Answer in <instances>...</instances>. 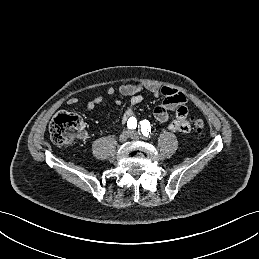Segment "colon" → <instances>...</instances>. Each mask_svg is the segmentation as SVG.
I'll return each mask as SVG.
<instances>
[{"label": "colon", "mask_w": 259, "mask_h": 259, "mask_svg": "<svg viewBox=\"0 0 259 259\" xmlns=\"http://www.w3.org/2000/svg\"><path fill=\"white\" fill-rule=\"evenodd\" d=\"M193 126L196 132L201 133L205 124L202 119H195ZM82 128V119L76 114L67 112L58 113L49 127L51 139L59 147L68 146Z\"/></svg>", "instance_id": "colon-1"}]
</instances>
